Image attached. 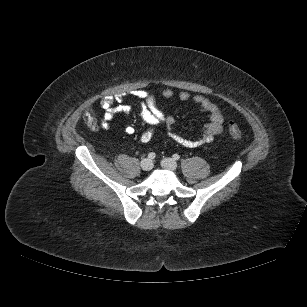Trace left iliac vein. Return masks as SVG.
Returning a JSON list of instances; mask_svg holds the SVG:
<instances>
[{
	"label": "left iliac vein",
	"mask_w": 307,
	"mask_h": 307,
	"mask_svg": "<svg viewBox=\"0 0 307 307\" xmlns=\"http://www.w3.org/2000/svg\"><path fill=\"white\" fill-rule=\"evenodd\" d=\"M161 165L164 169L174 171L177 168V163L172 158H165L162 160Z\"/></svg>",
	"instance_id": "1"
}]
</instances>
